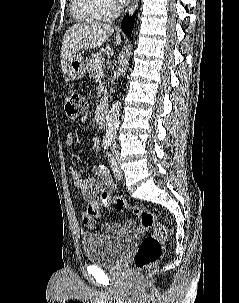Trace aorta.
<instances>
[{"mask_svg": "<svg viewBox=\"0 0 239 303\" xmlns=\"http://www.w3.org/2000/svg\"><path fill=\"white\" fill-rule=\"evenodd\" d=\"M120 101H115L106 117V134L105 140L113 142L116 137L117 129L119 127L120 118Z\"/></svg>", "mask_w": 239, "mask_h": 303, "instance_id": "aorta-1", "label": "aorta"}]
</instances>
